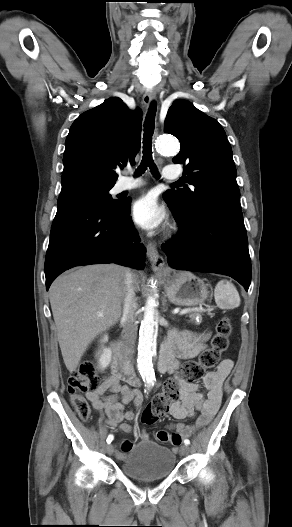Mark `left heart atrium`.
<instances>
[{
  "label": "left heart atrium",
  "instance_id": "obj_1",
  "mask_svg": "<svg viewBox=\"0 0 292 527\" xmlns=\"http://www.w3.org/2000/svg\"><path fill=\"white\" fill-rule=\"evenodd\" d=\"M164 216L163 209L151 194L141 196L132 206L134 221L144 229L150 230L159 227L164 220Z\"/></svg>",
  "mask_w": 292,
  "mask_h": 527
}]
</instances>
